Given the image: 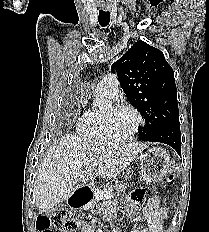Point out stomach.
<instances>
[{"label": "stomach", "mask_w": 209, "mask_h": 232, "mask_svg": "<svg viewBox=\"0 0 209 232\" xmlns=\"http://www.w3.org/2000/svg\"><path fill=\"white\" fill-rule=\"evenodd\" d=\"M169 153L160 147L148 149L140 156V178L147 183L158 181L169 170ZM122 183H131V178H122ZM96 191H109V186H96ZM106 195V192H103Z\"/></svg>", "instance_id": "stomach-1"}]
</instances>
